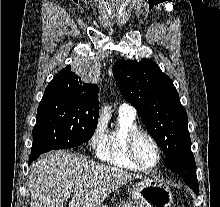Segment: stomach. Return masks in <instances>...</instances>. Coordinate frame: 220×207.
I'll list each match as a JSON object with an SVG mask.
<instances>
[{"mask_svg":"<svg viewBox=\"0 0 220 207\" xmlns=\"http://www.w3.org/2000/svg\"><path fill=\"white\" fill-rule=\"evenodd\" d=\"M172 203V192L162 180L143 177L132 185V201L122 204V207H171Z\"/></svg>","mask_w":220,"mask_h":207,"instance_id":"1","label":"stomach"}]
</instances>
